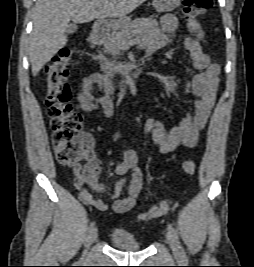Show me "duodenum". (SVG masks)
<instances>
[{
  "instance_id": "410a0bca",
  "label": "duodenum",
  "mask_w": 254,
  "mask_h": 267,
  "mask_svg": "<svg viewBox=\"0 0 254 267\" xmlns=\"http://www.w3.org/2000/svg\"><path fill=\"white\" fill-rule=\"evenodd\" d=\"M105 28H106L105 21L96 22L90 32L88 38L89 42L94 45L101 43L104 38ZM142 71L143 68L141 67L130 73L128 76H126V78L123 81L122 87L124 89L132 88L135 85L138 78L140 77Z\"/></svg>"
}]
</instances>
